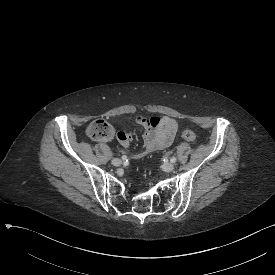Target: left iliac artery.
Listing matches in <instances>:
<instances>
[{
    "label": "left iliac artery",
    "instance_id": "44dca946",
    "mask_svg": "<svg viewBox=\"0 0 275 275\" xmlns=\"http://www.w3.org/2000/svg\"><path fill=\"white\" fill-rule=\"evenodd\" d=\"M170 161H171L172 163H175V162L177 161V158H176V157H172V158L170 159Z\"/></svg>",
    "mask_w": 275,
    "mask_h": 275
}]
</instances>
